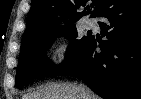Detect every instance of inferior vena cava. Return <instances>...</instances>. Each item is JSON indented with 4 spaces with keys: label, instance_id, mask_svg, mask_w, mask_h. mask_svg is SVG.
Listing matches in <instances>:
<instances>
[{
    "label": "inferior vena cava",
    "instance_id": "1",
    "mask_svg": "<svg viewBox=\"0 0 141 99\" xmlns=\"http://www.w3.org/2000/svg\"><path fill=\"white\" fill-rule=\"evenodd\" d=\"M79 87H80L81 91L84 93V95L86 96L85 98L90 99L92 94H91V91L89 90V88L84 84H80Z\"/></svg>",
    "mask_w": 141,
    "mask_h": 99
}]
</instances>
